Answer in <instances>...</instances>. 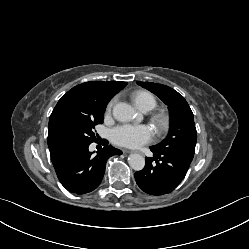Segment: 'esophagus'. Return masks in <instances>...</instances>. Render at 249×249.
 Returning <instances> with one entry per match:
<instances>
[{"mask_svg": "<svg viewBox=\"0 0 249 249\" xmlns=\"http://www.w3.org/2000/svg\"><path fill=\"white\" fill-rule=\"evenodd\" d=\"M123 152L124 153H132V151H129V150H124Z\"/></svg>", "mask_w": 249, "mask_h": 249, "instance_id": "obj_1", "label": "esophagus"}]
</instances>
